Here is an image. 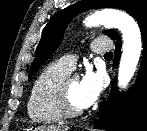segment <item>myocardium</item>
Wrapping results in <instances>:
<instances>
[{"mask_svg":"<svg viewBox=\"0 0 147 131\" xmlns=\"http://www.w3.org/2000/svg\"><path fill=\"white\" fill-rule=\"evenodd\" d=\"M78 78L77 74L68 73L57 84L55 89L56 105L63 117L75 118L84 113L83 108L74 107L68 96V85L71 80Z\"/></svg>","mask_w":147,"mask_h":131,"instance_id":"1","label":"myocardium"}]
</instances>
